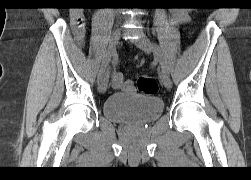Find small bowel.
Wrapping results in <instances>:
<instances>
[{"instance_id": "obj_1", "label": "small bowel", "mask_w": 251, "mask_h": 180, "mask_svg": "<svg viewBox=\"0 0 251 180\" xmlns=\"http://www.w3.org/2000/svg\"><path fill=\"white\" fill-rule=\"evenodd\" d=\"M174 18L180 22L181 24H185L189 21V14L185 10L177 9L173 11ZM70 21L73 27L75 39L82 46L84 43V35H85V17L84 14L75 10L70 14ZM113 86L117 90H121L124 92H133L134 87L130 81H127L123 78L122 75L115 73L112 78Z\"/></svg>"}]
</instances>
